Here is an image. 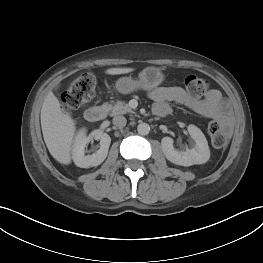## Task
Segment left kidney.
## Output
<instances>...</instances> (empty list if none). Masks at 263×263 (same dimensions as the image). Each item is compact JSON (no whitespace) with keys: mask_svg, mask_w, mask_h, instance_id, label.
Instances as JSON below:
<instances>
[{"mask_svg":"<svg viewBox=\"0 0 263 263\" xmlns=\"http://www.w3.org/2000/svg\"><path fill=\"white\" fill-rule=\"evenodd\" d=\"M188 132L195 141L192 149L178 151L173 146V139L164 137L161 141L165 157L172 163L181 166H191L205 163L210 156L208 142L202 131L195 125L188 126Z\"/></svg>","mask_w":263,"mask_h":263,"instance_id":"obj_1","label":"left kidney"}]
</instances>
